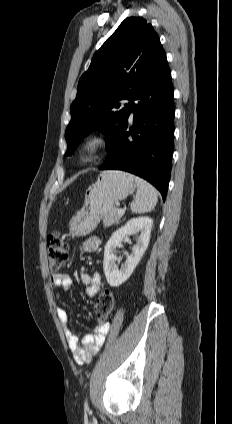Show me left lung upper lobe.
Instances as JSON below:
<instances>
[{
  "label": "left lung upper lobe",
  "mask_w": 232,
  "mask_h": 424,
  "mask_svg": "<svg viewBox=\"0 0 232 424\" xmlns=\"http://www.w3.org/2000/svg\"><path fill=\"white\" fill-rule=\"evenodd\" d=\"M165 57L151 24L140 17L126 18L95 53L79 80L76 99L70 107L71 121L65 131L66 155H71L78 141L96 126L108 137V149L129 108V104L122 108L119 101H131Z\"/></svg>",
  "instance_id": "1"
}]
</instances>
